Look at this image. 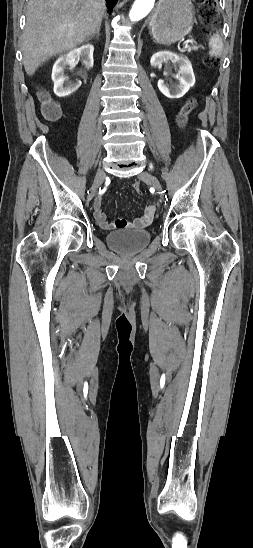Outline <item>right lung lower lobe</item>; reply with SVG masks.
<instances>
[{"instance_id": "right-lung-lower-lobe-1", "label": "right lung lower lobe", "mask_w": 253, "mask_h": 548, "mask_svg": "<svg viewBox=\"0 0 253 548\" xmlns=\"http://www.w3.org/2000/svg\"><path fill=\"white\" fill-rule=\"evenodd\" d=\"M106 1H107L108 5H109L110 7L114 6V5L116 4V2H117V0H106Z\"/></svg>"}]
</instances>
